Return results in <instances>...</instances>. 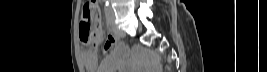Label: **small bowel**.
Segmentation results:
<instances>
[{"label":"small bowel","mask_w":267,"mask_h":72,"mask_svg":"<svg viewBox=\"0 0 267 72\" xmlns=\"http://www.w3.org/2000/svg\"><path fill=\"white\" fill-rule=\"evenodd\" d=\"M116 41V36L110 35L103 46L104 52L107 53L110 51L116 44ZM82 60L89 72H109V65L113 62V58L111 56H107L104 58L102 66L97 68V54L93 50L84 51L82 53Z\"/></svg>","instance_id":"c3829d8e"}]
</instances>
